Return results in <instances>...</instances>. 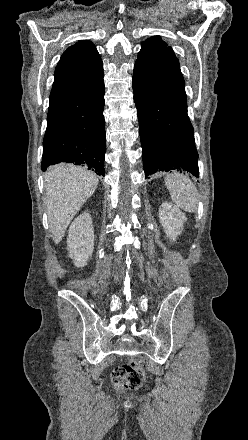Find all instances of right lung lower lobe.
Wrapping results in <instances>:
<instances>
[{
  "mask_svg": "<svg viewBox=\"0 0 248 440\" xmlns=\"http://www.w3.org/2000/svg\"><path fill=\"white\" fill-rule=\"evenodd\" d=\"M104 80L95 87L50 99L42 171L60 162L105 175Z\"/></svg>",
  "mask_w": 248,
  "mask_h": 440,
  "instance_id": "98d812e1",
  "label": "right lung lower lobe"
}]
</instances>
